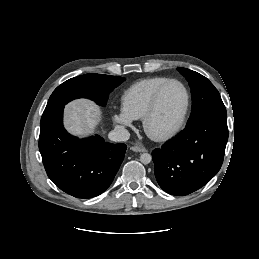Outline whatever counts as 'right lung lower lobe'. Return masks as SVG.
I'll return each instance as SVG.
<instances>
[{
    "label": "right lung lower lobe",
    "mask_w": 259,
    "mask_h": 259,
    "mask_svg": "<svg viewBox=\"0 0 259 259\" xmlns=\"http://www.w3.org/2000/svg\"><path fill=\"white\" fill-rule=\"evenodd\" d=\"M63 109L43 113L40 121L39 150L47 175L74 197L98 196L112 183L127 146L105 142L98 135H70L63 127Z\"/></svg>",
    "instance_id": "98d812e1"
}]
</instances>
